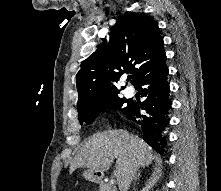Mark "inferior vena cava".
I'll return each mask as SVG.
<instances>
[{
  "label": "inferior vena cava",
  "instance_id": "obj_1",
  "mask_svg": "<svg viewBox=\"0 0 221 191\" xmlns=\"http://www.w3.org/2000/svg\"><path fill=\"white\" fill-rule=\"evenodd\" d=\"M135 173H136L135 169L130 171L129 175L124 179V181L119 186L120 191H128V188L131 184V181L133 180Z\"/></svg>",
  "mask_w": 221,
  "mask_h": 191
}]
</instances>
